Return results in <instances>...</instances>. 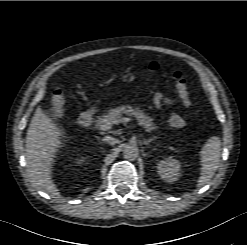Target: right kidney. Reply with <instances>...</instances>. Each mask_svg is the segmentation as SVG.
Returning a JSON list of instances; mask_svg holds the SVG:
<instances>
[{
  "mask_svg": "<svg viewBox=\"0 0 247 245\" xmlns=\"http://www.w3.org/2000/svg\"><path fill=\"white\" fill-rule=\"evenodd\" d=\"M83 161H84V158L78 159V162H83Z\"/></svg>",
  "mask_w": 247,
  "mask_h": 245,
  "instance_id": "1",
  "label": "right kidney"
}]
</instances>
